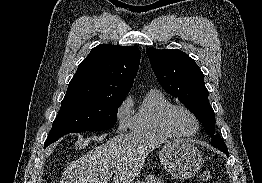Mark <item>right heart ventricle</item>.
I'll use <instances>...</instances> for the list:
<instances>
[{"instance_id": "1", "label": "right heart ventricle", "mask_w": 262, "mask_h": 183, "mask_svg": "<svg viewBox=\"0 0 262 183\" xmlns=\"http://www.w3.org/2000/svg\"><path fill=\"white\" fill-rule=\"evenodd\" d=\"M172 105L160 90H150L135 111L131 130L134 134L143 137L174 138L163 125V114Z\"/></svg>"}]
</instances>
